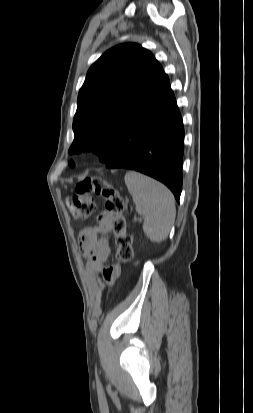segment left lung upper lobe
<instances>
[{
	"label": "left lung upper lobe",
	"instance_id": "1",
	"mask_svg": "<svg viewBox=\"0 0 253 413\" xmlns=\"http://www.w3.org/2000/svg\"><path fill=\"white\" fill-rule=\"evenodd\" d=\"M165 76L153 54L138 44L105 52L90 67L79 91L69 153L92 150L106 165L114 160L124 123L140 113Z\"/></svg>",
	"mask_w": 253,
	"mask_h": 413
}]
</instances>
